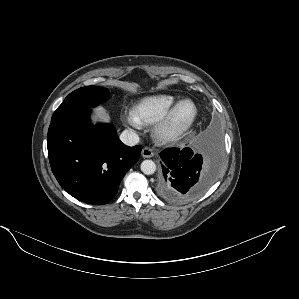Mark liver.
<instances>
[{
	"label": "liver",
	"instance_id": "1",
	"mask_svg": "<svg viewBox=\"0 0 299 299\" xmlns=\"http://www.w3.org/2000/svg\"><path fill=\"white\" fill-rule=\"evenodd\" d=\"M97 114L92 117L94 122L104 121L107 122L109 120L108 115L102 108L96 109Z\"/></svg>",
	"mask_w": 299,
	"mask_h": 299
}]
</instances>
